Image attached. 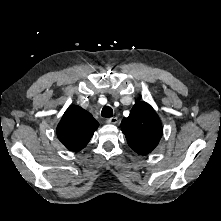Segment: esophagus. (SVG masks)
Listing matches in <instances>:
<instances>
[{"label": "esophagus", "mask_w": 221, "mask_h": 221, "mask_svg": "<svg viewBox=\"0 0 221 221\" xmlns=\"http://www.w3.org/2000/svg\"><path fill=\"white\" fill-rule=\"evenodd\" d=\"M106 122H107L108 124H116V123H118V118H117V117H111V118H108V119L106 120Z\"/></svg>", "instance_id": "obj_1"}]
</instances>
